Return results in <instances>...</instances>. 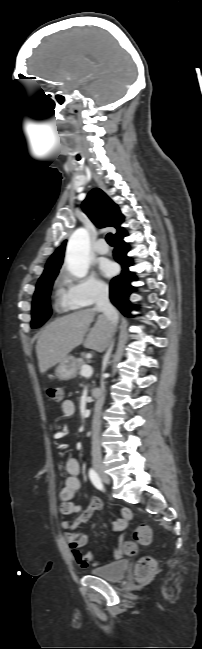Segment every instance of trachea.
<instances>
[{"label": "trachea", "mask_w": 202, "mask_h": 649, "mask_svg": "<svg viewBox=\"0 0 202 649\" xmlns=\"http://www.w3.org/2000/svg\"><path fill=\"white\" fill-rule=\"evenodd\" d=\"M106 241L109 245H113V237L111 233H108L106 236Z\"/></svg>", "instance_id": "1"}]
</instances>
